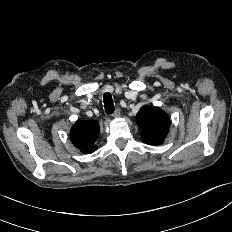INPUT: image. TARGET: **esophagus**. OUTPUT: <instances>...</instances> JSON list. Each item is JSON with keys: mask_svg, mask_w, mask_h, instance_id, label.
<instances>
[{"mask_svg": "<svg viewBox=\"0 0 232 232\" xmlns=\"http://www.w3.org/2000/svg\"><path fill=\"white\" fill-rule=\"evenodd\" d=\"M121 115V110H120V108H116V110L114 111V113L112 114V116L114 117V118H117V117H119Z\"/></svg>", "mask_w": 232, "mask_h": 232, "instance_id": "1", "label": "esophagus"}]
</instances>
